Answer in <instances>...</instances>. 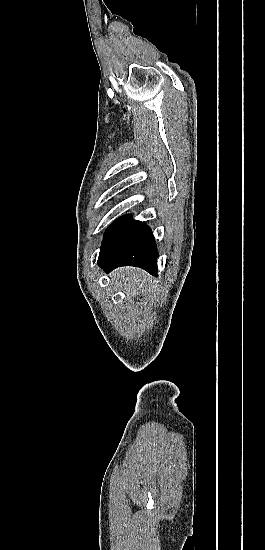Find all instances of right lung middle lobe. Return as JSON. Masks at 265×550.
Returning a JSON list of instances; mask_svg holds the SVG:
<instances>
[{"instance_id": "obj_1", "label": "right lung middle lobe", "mask_w": 265, "mask_h": 550, "mask_svg": "<svg viewBox=\"0 0 265 550\" xmlns=\"http://www.w3.org/2000/svg\"><path fill=\"white\" fill-rule=\"evenodd\" d=\"M139 223L130 215H124L115 220L106 230L100 254L112 251Z\"/></svg>"}]
</instances>
